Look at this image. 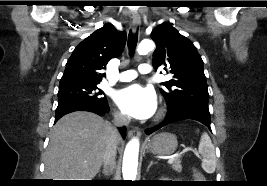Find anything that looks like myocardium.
Instances as JSON below:
<instances>
[{
    "instance_id": "1",
    "label": "myocardium",
    "mask_w": 267,
    "mask_h": 186,
    "mask_svg": "<svg viewBox=\"0 0 267 186\" xmlns=\"http://www.w3.org/2000/svg\"><path fill=\"white\" fill-rule=\"evenodd\" d=\"M161 114H162V112L160 111V112L158 113L157 117H160V116H161Z\"/></svg>"
}]
</instances>
